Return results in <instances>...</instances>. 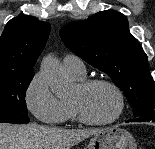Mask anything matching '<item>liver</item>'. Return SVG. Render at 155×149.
Masks as SVG:
<instances>
[{"instance_id":"liver-1","label":"liver","mask_w":155,"mask_h":149,"mask_svg":"<svg viewBox=\"0 0 155 149\" xmlns=\"http://www.w3.org/2000/svg\"><path fill=\"white\" fill-rule=\"evenodd\" d=\"M104 129L67 130L35 123H0V149H71Z\"/></svg>"}]
</instances>
